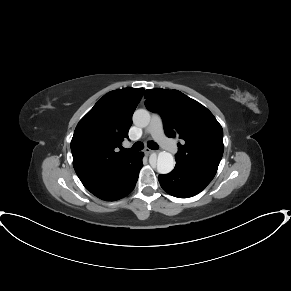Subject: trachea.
Listing matches in <instances>:
<instances>
[{
  "label": "trachea",
  "mask_w": 291,
  "mask_h": 291,
  "mask_svg": "<svg viewBox=\"0 0 291 291\" xmlns=\"http://www.w3.org/2000/svg\"><path fill=\"white\" fill-rule=\"evenodd\" d=\"M148 147L152 150L158 149V144L154 141L148 142ZM143 149V144L141 142L135 143L130 149H125L126 151L136 152L141 151Z\"/></svg>",
  "instance_id": "3493384b"
}]
</instances>
